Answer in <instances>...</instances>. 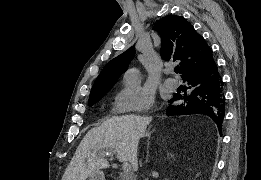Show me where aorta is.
Returning a JSON list of instances; mask_svg holds the SVG:
<instances>
[{
  "label": "aorta",
  "mask_w": 261,
  "mask_h": 180,
  "mask_svg": "<svg viewBox=\"0 0 261 180\" xmlns=\"http://www.w3.org/2000/svg\"><path fill=\"white\" fill-rule=\"evenodd\" d=\"M139 77V71L135 68L129 69L125 75L124 80L126 83V86L132 87L135 86Z\"/></svg>",
  "instance_id": "762f6f07"
}]
</instances>
